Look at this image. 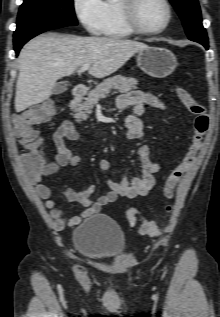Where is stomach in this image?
Here are the masks:
<instances>
[{
    "label": "stomach",
    "instance_id": "1",
    "mask_svg": "<svg viewBox=\"0 0 220 317\" xmlns=\"http://www.w3.org/2000/svg\"><path fill=\"white\" fill-rule=\"evenodd\" d=\"M137 65L149 76L164 78L177 67L175 55L162 47H147L141 49L137 55Z\"/></svg>",
    "mask_w": 220,
    "mask_h": 317
}]
</instances>
